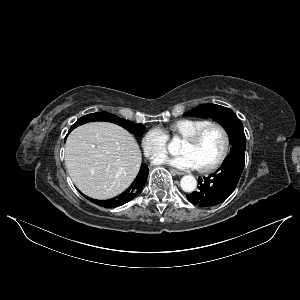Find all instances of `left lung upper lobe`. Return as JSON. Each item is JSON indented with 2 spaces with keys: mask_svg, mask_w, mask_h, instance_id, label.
Wrapping results in <instances>:
<instances>
[{
  "mask_svg": "<svg viewBox=\"0 0 300 300\" xmlns=\"http://www.w3.org/2000/svg\"><path fill=\"white\" fill-rule=\"evenodd\" d=\"M184 115L201 118L210 117L217 121L228 133L230 144L232 145L230 153L245 155L246 137L243 125L231 109L216 104H204L193 108Z\"/></svg>",
  "mask_w": 300,
  "mask_h": 300,
  "instance_id": "obj_1",
  "label": "left lung upper lobe"
}]
</instances>
